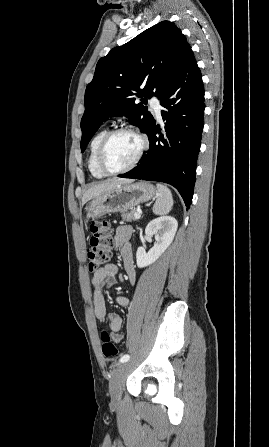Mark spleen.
Here are the masks:
<instances>
[{
    "instance_id": "spleen-1",
    "label": "spleen",
    "mask_w": 269,
    "mask_h": 447,
    "mask_svg": "<svg viewBox=\"0 0 269 447\" xmlns=\"http://www.w3.org/2000/svg\"><path fill=\"white\" fill-rule=\"evenodd\" d=\"M156 186L158 198L153 206V212L156 216H165V214H169L170 210H172V194L167 186H162V184H156Z\"/></svg>"
}]
</instances>
